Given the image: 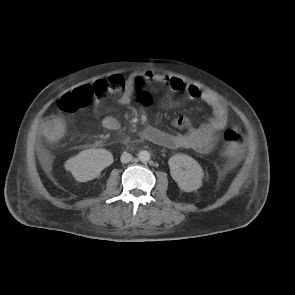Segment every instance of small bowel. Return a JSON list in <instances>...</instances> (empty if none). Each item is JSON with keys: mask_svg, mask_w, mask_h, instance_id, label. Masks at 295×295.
Masks as SVG:
<instances>
[{"mask_svg": "<svg viewBox=\"0 0 295 295\" xmlns=\"http://www.w3.org/2000/svg\"><path fill=\"white\" fill-rule=\"evenodd\" d=\"M155 83L164 84L169 92L184 95L190 99L207 104L212 110V116L206 123L194 126L186 117H179L174 121V126L182 129L178 133H167L153 126H147L141 133V137L154 144L167 148H184L195 150L202 154L210 153L217 145L221 133L228 121L226 105L212 94L199 89L196 85L187 83L181 78L166 74L153 73L151 71L136 72L128 79L127 86L120 92L119 101L129 104L136 95V89L141 93H147L144 88ZM99 101L95 100L93 112L97 113ZM104 128L117 131L120 122L113 116H105L101 119Z\"/></svg>", "mask_w": 295, "mask_h": 295, "instance_id": "c3829d8e", "label": "small bowel"}]
</instances>
